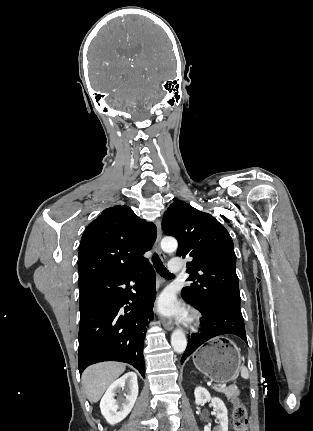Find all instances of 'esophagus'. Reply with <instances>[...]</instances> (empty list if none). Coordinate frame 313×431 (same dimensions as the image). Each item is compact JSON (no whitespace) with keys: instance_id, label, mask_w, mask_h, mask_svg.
<instances>
[{"instance_id":"obj_1","label":"esophagus","mask_w":313,"mask_h":431,"mask_svg":"<svg viewBox=\"0 0 313 431\" xmlns=\"http://www.w3.org/2000/svg\"><path fill=\"white\" fill-rule=\"evenodd\" d=\"M156 227H157V237H156V241H155V249H156L158 255L160 256V258L165 259V254L160 248V240H161V236H162V231H161V222L159 219L156 221ZM161 324L163 325V327L166 330L170 331L173 329V323L171 320L161 318Z\"/></svg>"}]
</instances>
